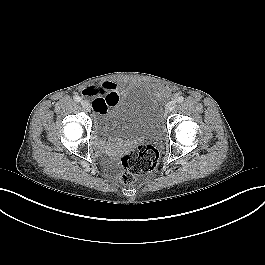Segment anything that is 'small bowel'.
Returning a JSON list of instances; mask_svg holds the SVG:
<instances>
[{
	"instance_id": "c3829d8e",
	"label": "small bowel",
	"mask_w": 265,
	"mask_h": 265,
	"mask_svg": "<svg viewBox=\"0 0 265 265\" xmlns=\"http://www.w3.org/2000/svg\"><path fill=\"white\" fill-rule=\"evenodd\" d=\"M125 86L113 81H105L98 86L87 85L82 94L84 97L93 98V109L98 114H105L108 107L112 106L123 93ZM160 98L166 97V91L159 89Z\"/></svg>"
}]
</instances>
